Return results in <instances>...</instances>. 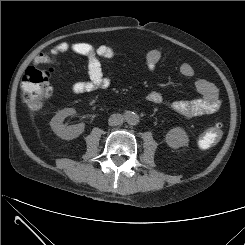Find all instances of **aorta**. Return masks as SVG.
I'll list each match as a JSON object with an SVG mask.
<instances>
[{
	"instance_id": "aorta-1",
	"label": "aorta",
	"mask_w": 245,
	"mask_h": 245,
	"mask_svg": "<svg viewBox=\"0 0 245 245\" xmlns=\"http://www.w3.org/2000/svg\"><path fill=\"white\" fill-rule=\"evenodd\" d=\"M125 120L130 125H137L139 123V115L134 112H129L126 114Z\"/></svg>"
}]
</instances>
